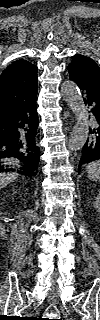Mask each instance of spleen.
Here are the masks:
<instances>
[{
	"label": "spleen",
	"instance_id": "spleen-1",
	"mask_svg": "<svg viewBox=\"0 0 100 320\" xmlns=\"http://www.w3.org/2000/svg\"><path fill=\"white\" fill-rule=\"evenodd\" d=\"M87 177L92 181L100 180V162L94 161L86 166Z\"/></svg>",
	"mask_w": 100,
	"mask_h": 320
}]
</instances>
